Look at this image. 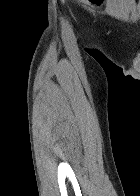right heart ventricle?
<instances>
[{"label":"right heart ventricle","mask_w":140,"mask_h":196,"mask_svg":"<svg viewBox=\"0 0 140 196\" xmlns=\"http://www.w3.org/2000/svg\"><path fill=\"white\" fill-rule=\"evenodd\" d=\"M94 192H111V191H94Z\"/></svg>","instance_id":"1"}]
</instances>
